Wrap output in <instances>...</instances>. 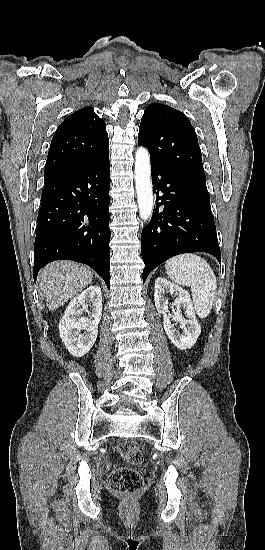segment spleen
I'll return each instance as SVG.
<instances>
[{"label": "spleen", "mask_w": 265, "mask_h": 550, "mask_svg": "<svg viewBox=\"0 0 265 550\" xmlns=\"http://www.w3.org/2000/svg\"><path fill=\"white\" fill-rule=\"evenodd\" d=\"M165 269L173 282L191 287L197 315L207 317L217 290L216 277L207 261L196 254H183L166 261Z\"/></svg>", "instance_id": "spleen-1"}]
</instances>
